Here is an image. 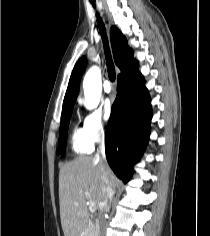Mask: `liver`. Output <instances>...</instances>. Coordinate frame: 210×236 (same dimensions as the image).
I'll list each match as a JSON object with an SVG mask.
<instances>
[{
	"label": "liver",
	"mask_w": 210,
	"mask_h": 236,
	"mask_svg": "<svg viewBox=\"0 0 210 236\" xmlns=\"http://www.w3.org/2000/svg\"><path fill=\"white\" fill-rule=\"evenodd\" d=\"M113 182L115 176L104 165ZM103 199L102 168L92 157H78L60 167L59 202L64 236H82L88 217L87 203L96 206Z\"/></svg>",
	"instance_id": "6515ba94"
}]
</instances>
